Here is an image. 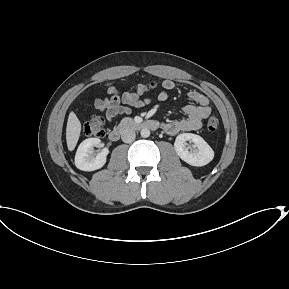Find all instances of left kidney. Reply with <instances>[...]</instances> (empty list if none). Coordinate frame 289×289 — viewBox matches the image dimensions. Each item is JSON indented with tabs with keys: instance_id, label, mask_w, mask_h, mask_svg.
Listing matches in <instances>:
<instances>
[{
	"instance_id": "5707ae66",
	"label": "left kidney",
	"mask_w": 289,
	"mask_h": 289,
	"mask_svg": "<svg viewBox=\"0 0 289 289\" xmlns=\"http://www.w3.org/2000/svg\"><path fill=\"white\" fill-rule=\"evenodd\" d=\"M187 141L193 143L189 150ZM174 149L177 155L192 166H204L214 158V151L208 143L199 135L182 133L176 137Z\"/></svg>"
}]
</instances>
